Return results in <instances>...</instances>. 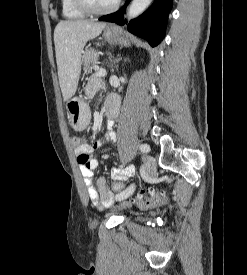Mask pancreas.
I'll return each instance as SVG.
<instances>
[{"instance_id":"obj_1","label":"pancreas","mask_w":247,"mask_h":275,"mask_svg":"<svg viewBox=\"0 0 247 275\" xmlns=\"http://www.w3.org/2000/svg\"><path fill=\"white\" fill-rule=\"evenodd\" d=\"M102 87V79L100 76L93 74L85 88V94L88 98H92Z\"/></svg>"}]
</instances>
